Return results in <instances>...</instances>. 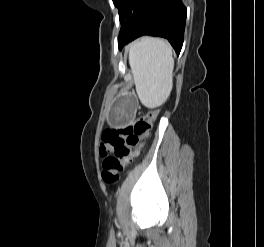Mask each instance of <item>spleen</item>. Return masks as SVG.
Segmentation results:
<instances>
[{
  "mask_svg": "<svg viewBox=\"0 0 264 247\" xmlns=\"http://www.w3.org/2000/svg\"><path fill=\"white\" fill-rule=\"evenodd\" d=\"M129 64L139 98L156 105L164 103L173 86L172 47L158 38H141L129 49Z\"/></svg>",
  "mask_w": 264,
  "mask_h": 247,
  "instance_id": "spleen-1",
  "label": "spleen"
}]
</instances>
